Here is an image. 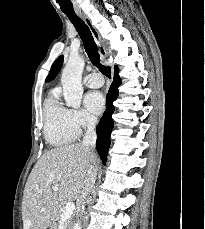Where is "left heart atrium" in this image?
I'll list each match as a JSON object with an SVG mask.
<instances>
[{
    "label": "left heart atrium",
    "mask_w": 205,
    "mask_h": 229,
    "mask_svg": "<svg viewBox=\"0 0 205 229\" xmlns=\"http://www.w3.org/2000/svg\"><path fill=\"white\" fill-rule=\"evenodd\" d=\"M85 105L91 113L99 115L105 108L104 96L98 91L90 92L85 97Z\"/></svg>",
    "instance_id": "39dd6f15"
}]
</instances>
